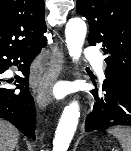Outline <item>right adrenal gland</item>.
I'll list each match as a JSON object with an SVG mask.
<instances>
[{
  "label": "right adrenal gland",
  "mask_w": 131,
  "mask_h": 151,
  "mask_svg": "<svg viewBox=\"0 0 131 151\" xmlns=\"http://www.w3.org/2000/svg\"><path fill=\"white\" fill-rule=\"evenodd\" d=\"M16 151H19V146H16Z\"/></svg>",
  "instance_id": "2a0ac1e0"
}]
</instances>
